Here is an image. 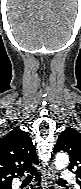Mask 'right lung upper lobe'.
I'll return each mask as SVG.
<instances>
[{
	"label": "right lung upper lobe",
	"mask_w": 81,
	"mask_h": 189,
	"mask_svg": "<svg viewBox=\"0 0 81 189\" xmlns=\"http://www.w3.org/2000/svg\"><path fill=\"white\" fill-rule=\"evenodd\" d=\"M39 161L28 133L14 129L0 139V187L11 185L12 179L32 172Z\"/></svg>",
	"instance_id": "cb5924a9"
}]
</instances>
